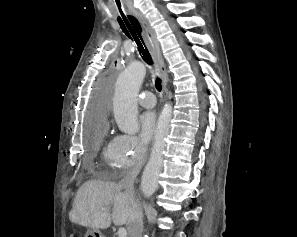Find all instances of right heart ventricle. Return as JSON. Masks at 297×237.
<instances>
[{"instance_id":"1","label":"right heart ventricle","mask_w":297,"mask_h":237,"mask_svg":"<svg viewBox=\"0 0 297 237\" xmlns=\"http://www.w3.org/2000/svg\"><path fill=\"white\" fill-rule=\"evenodd\" d=\"M114 152H115V142L114 140H112L105 146L104 156L111 165L116 166L114 162Z\"/></svg>"}]
</instances>
